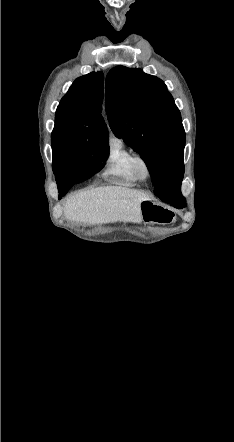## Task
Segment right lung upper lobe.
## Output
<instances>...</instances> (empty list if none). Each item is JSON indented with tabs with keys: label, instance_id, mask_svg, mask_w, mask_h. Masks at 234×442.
<instances>
[{
	"label": "right lung upper lobe",
	"instance_id": "1",
	"mask_svg": "<svg viewBox=\"0 0 234 442\" xmlns=\"http://www.w3.org/2000/svg\"><path fill=\"white\" fill-rule=\"evenodd\" d=\"M103 83L102 72L77 78L61 99L55 122L71 125L86 138L108 140L107 127L100 113Z\"/></svg>",
	"mask_w": 234,
	"mask_h": 442
}]
</instances>
